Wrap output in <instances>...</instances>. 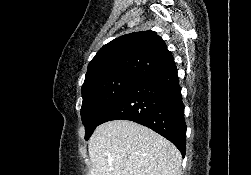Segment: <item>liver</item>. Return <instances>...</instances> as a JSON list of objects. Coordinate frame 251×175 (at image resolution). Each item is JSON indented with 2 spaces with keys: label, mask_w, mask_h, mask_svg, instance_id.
<instances>
[{
  "label": "liver",
  "mask_w": 251,
  "mask_h": 175,
  "mask_svg": "<svg viewBox=\"0 0 251 175\" xmlns=\"http://www.w3.org/2000/svg\"><path fill=\"white\" fill-rule=\"evenodd\" d=\"M88 151L89 175H181L179 149L156 131L128 119L98 125Z\"/></svg>",
  "instance_id": "liver-1"
}]
</instances>
